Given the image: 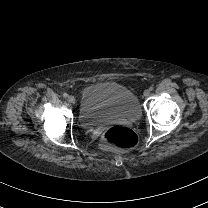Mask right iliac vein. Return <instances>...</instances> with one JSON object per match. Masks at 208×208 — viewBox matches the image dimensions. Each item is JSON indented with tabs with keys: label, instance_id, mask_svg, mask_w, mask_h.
I'll use <instances>...</instances> for the list:
<instances>
[{
	"label": "right iliac vein",
	"instance_id": "63e3f726",
	"mask_svg": "<svg viewBox=\"0 0 208 208\" xmlns=\"http://www.w3.org/2000/svg\"><path fill=\"white\" fill-rule=\"evenodd\" d=\"M68 101H69L70 103H75V98H74V96H69V97H68Z\"/></svg>",
	"mask_w": 208,
	"mask_h": 208
}]
</instances>
